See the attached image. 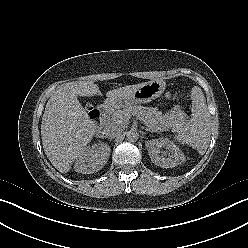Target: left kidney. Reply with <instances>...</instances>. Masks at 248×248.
<instances>
[{"mask_svg":"<svg viewBox=\"0 0 248 248\" xmlns=\"http://www.w3.org/2000/svg\"><path fill=\"white\" fill-rule=\"evenodd\" d=\"M151 161L162 168H172L185 161L184 153L168 139H152L145 143ZM166 149L168 157H164L160 153L161 149Z\"/></svg>","mask_w":248,"mask_h":248,"instance_id":"obj_1","label":"left kidney"}]
</instances>
